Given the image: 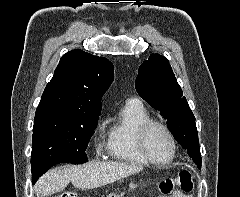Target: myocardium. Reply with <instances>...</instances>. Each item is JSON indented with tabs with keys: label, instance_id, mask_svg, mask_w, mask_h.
<instances>
[{
	"label": "myocardium",
	"instance_id": "obj_1",
	"mask_svg": "<svg viewBox=\"0 0 240 197\" xmlns=\"http://www.w3.org/2000/svg\"><path fill=\"white\" fill-rule=\"evenodd\" d=\"M154 126L161 127L170 138V141L172 144V153H171V156L166 160H156L151 156V154L148 151L146 138L149 130ZM136 144L141 155L149 163L158 165V166H164L171 163L175 159L177 154V141L172 130L164 122L159 120L149 119L138 127L136 131Z\"/></svg>",
	"mask_w": 240,
	"mask_h": 197
}]
</instances>
